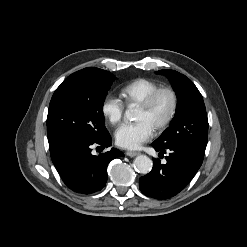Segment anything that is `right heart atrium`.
Instances as JSON below:
<instances>
[{"label": "right heart atrium", "instance_id": "obj_1", "mask_svg": "<svg viewBox=\"0 0 247 247\" xmlns=\"http://www.w3.org/2000/svg\"><path fill=\"white\" fill-rule=\"evenodd\" d=\"M100 109L103 117L112 125L119 123L123 117L124 105L114 96H105Z\"/></svg>", "mask_w": 247, "mask_h": 247}]
</instances>
